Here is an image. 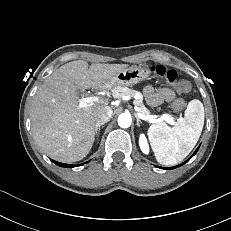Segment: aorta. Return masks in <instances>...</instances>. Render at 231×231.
Here are the masks:
<instances>
[{
    "label": "aorta",
    "instance_id": "aorta-1",
    "mask_svg": "<svg viewBox=\"0 0 231 231\" xmlns=\"http://www.w3.org/2000/svg\"><path fill=\"white\" fill-rule=\"evenodd\" d=\"M132 118L129 114L123 113L118 117V125L121 128H128L131 125Z\"/></svg>",
    "mask_w": 231,
    "mask_h": 231
}]
</instances>
